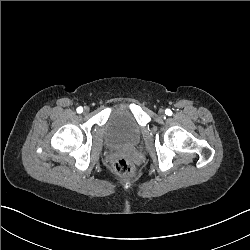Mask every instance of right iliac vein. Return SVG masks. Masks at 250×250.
I'll list each match as a JSON object with an SVG mask.
<instances>
[{"instance_id":"right-iliac-vein-1","label":"right iliac vein","mask_w":250,"mask_h":250,"mask_svg":"<svg viewBox=\"0 0 250 250\" xmlns=\"http://www.w3.org/2000/svg\"><path fill=\"white\" fill-rule=\"evenodd\" d=\"M88 111H89L88 107H85L84 112H88Z\"/></svg>"}]
</instances>
